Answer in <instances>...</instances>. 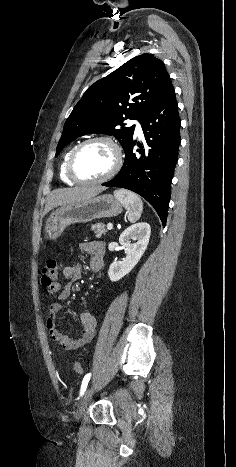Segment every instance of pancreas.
<instances>
[{
	"instance_id": "1",
	"label": "pancreas",
	"mask_w": 236,
	"mask_h": 467,
	"mask_svg": "<svg viewBox=\"0 0 236 467\" xmlns=\"http://www.w3.org/2000/svg\"><path fill=\"white\" fill-rule=\"evenodd\" d=\"M91 229L95 232L96 238H101L102 235H104L107 232L103 223H96L92 225Z\"/></svg>"
}]
</instances>
